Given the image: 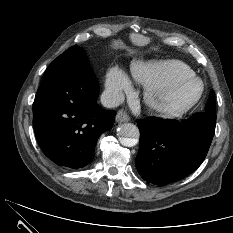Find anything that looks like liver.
<instances>
[{
  "label": "liver",
  "instance_id": "6515ba94",
  "mask_svg": "<svg viewBox=\"0 0 233 233\" xmlns=\"http://www.w3.org/2000/svg\"><path fill=\"white\" fill-rule=\"evenodd\" d=\"M132 40L138 45H143L147 42L145 38H143L142 36H138V35L132 36Z\"/></svg>",
  "mask_w": 233,
  "mask_h": 233
}]
</instances>
